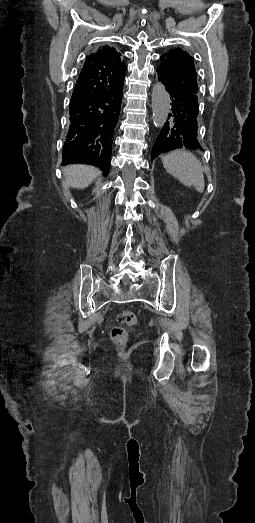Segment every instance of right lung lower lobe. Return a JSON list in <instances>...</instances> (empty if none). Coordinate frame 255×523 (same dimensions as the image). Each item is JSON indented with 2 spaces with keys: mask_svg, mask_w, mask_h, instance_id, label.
Here are the masks:
<instances>
[{
  "mask_svg": "<svg viewBox=\"0 0 255 523\" xmlns=\"http://www.w3.org/2000/svg\"><path fill=\"white\" fill-rule=\"evenodd\" d=\"M79 112L83 114V153L92 155L94 153V143L100 140V100L91 98L88 101L79 103Z\"/></svg>",
  "mask_w": 255,
  "mask_h": 523,
  "instance_id": "98d812e1",
  "label": "right lung lower lobe"
}]
</instances>
